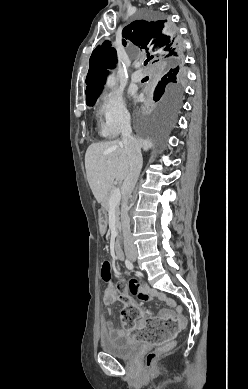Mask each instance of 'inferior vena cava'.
I'll use <instances>...</instances> for the list:
<instances>
[{"label":"inferior vena cava","instance_id":"obj_1","mask_svg":"<svg viewBox=\"0 0 248 389\" xmlns=\"http://www.w3.org/2000/svg\"><path fill=\"white\" fill-rule=\"evenodd\" d=\"M122 144L125 147V151L129 158V172L123 182V199L121 207V223L124 238V250L125 252H136L131 231H130V219L128 216V198L131 195L140 171L142 168V155L139 142L132 136V128L130 119L125 120L122 126Z\"/></svg>","mask_w":248,"mask_h":389}]
</instances>
